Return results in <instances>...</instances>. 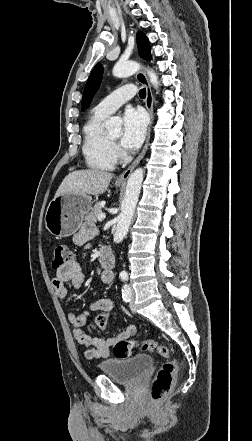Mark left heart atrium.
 Listing matches in <instances>:
<instances>
[{
    "instance_id": "obj_1",
    "label": "left heart atrium",
    "mask_w": 252,
    "mask_h": 441,
    "mask_svg": "<svg viewBox=\"0 0 252 441\" xmlns=\"http://www.w3.org/2000/svg\"><path fill=\"white\" fill-rule=\"evenodd\" d=\"M147 117L141 108L129 107L123 115L121 145L133 151L140 147L146 134Z\"/></svg>"
}]
</instances>
